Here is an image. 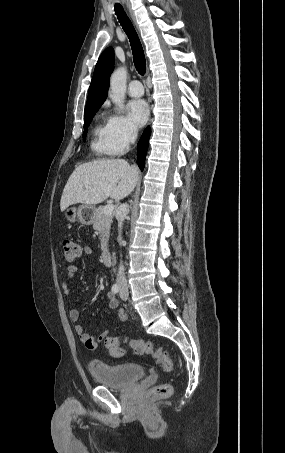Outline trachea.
I'll use <instances>...</instances> for the list:
<instances>
[{"label": "trachea", "instance_id": "obj_1", "mask_svg": "<svg viewBox=\"0 0 285 453\" xmlns=\"http://www.w3.org/2000/svg\"><path fill=\"white\" fill-rule=\"evenodd\" d=\"M115 13L119 19V22L127 34L130 45L132 48L133 53V60L135 64V68L140 75H144L146 72V59L143 51V47L141 45L140 39L130 21L128 16L126 15L123 7L120 4L115 5Z\"/></svg>", "mask_w": 285, "mask_h": 453}]
</instances>
